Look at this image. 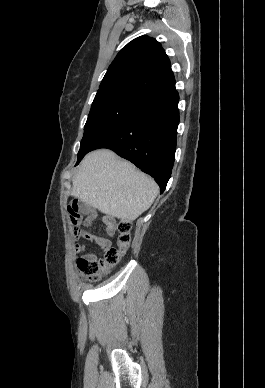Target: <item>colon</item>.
<instances>
[{
	"instance_id": "1",
	"label": "colon",
	"mask_w": 265,
	"mask_h": 388,
	"mask_svg": "<svg viewBox=\"0 0 265 388\" xmlns=\"http://www.w3.org/2000/svg\"><path fill=\"white\" fill-rule=\"evenodd\" d=\"M68 214L72 223L76 227V235L85 238L88 233L78 227L80 220V206L75 200L69 202ZM131 223L122 220L118 223L117 245L109 248L104 257L98 260H90L80 257L77 260V268L80 274L89 281H98L101 277L109 273L123 258L131 241Z\"/></svg>"
}]
</instances>
